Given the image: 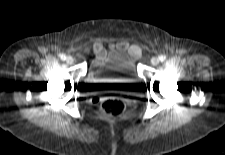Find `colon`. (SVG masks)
<instances>
[{
    "label": "colon",
    "mask_w": 225,
    "mask_h": 155,
    "mask_svg": "<svg viewBox=\"0 0 225 155\" xmlns=\"http://www.w3.org/2000/svg\"><path fill=\"white\" fill-rule=\"evenodd\" d=\"M94 103L99 106L102 115L106 118L119 117L126 110L125 100L120 96L97 98Z\"/></svg>",
    "instance_id": "1"
}]
</instances>
